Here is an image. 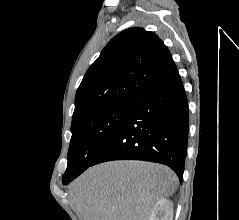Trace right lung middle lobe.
Returning a JSON list of instances; mask_svg holds the SVG:
<instances>
[{"label":"right lung middle lobe","mask_w":239,"mask_h":220,"mask_svg":"<svg viewBox=\"0 0 239 220\" xmlns=\"http://www.w3.org/2000/svg\"><path fill=\"white\" fill-rule=\"evenodd\" d=\"M130 104H119L89 113L72 122V137L63 184L84 172L125 119Z\"/></svg>","instance_id":"1"}]
</instances>
